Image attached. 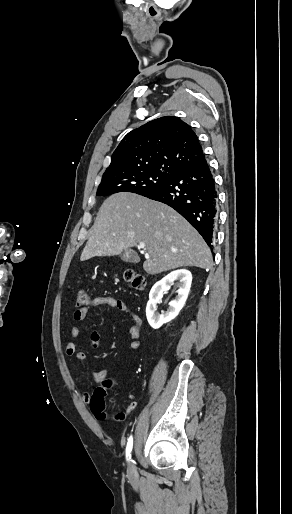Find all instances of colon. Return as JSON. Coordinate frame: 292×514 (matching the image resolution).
<instances>
[{"label":"colon","mask_w":292,"mask_h":514,"mask_svg":"<svg viewBox=\"0 0 292 514\" xmlns=\"http://www.w3.org/2000/svg\"><path fill=\"white\" fill-rule=\"evenodd\" d=\"M124 278L130 283L133 289L141 290L144 287L145 278L143 275L136 273L133 270L127 269L123 271ZM90 300L85 290H79L76 294L75 299V312L85 310L89 307ZM111 386V380L107 379L104 381V385L98 388L97 391L91 396L90 408L93 413L94 420H102L105 414V396L106 390ZM132 410V407H128L125 412H121L118 418L122 419L123 416Z\"/></svg>","instance_id":"1"}]
</instances>
